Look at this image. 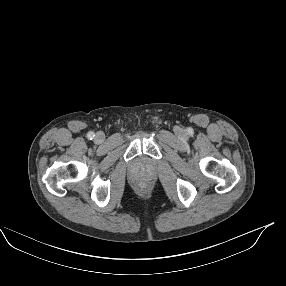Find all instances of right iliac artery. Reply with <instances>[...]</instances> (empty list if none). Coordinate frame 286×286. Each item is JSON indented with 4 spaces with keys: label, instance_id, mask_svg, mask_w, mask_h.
<instances>
[{
    "label": "right iliac artery",
    "instance_id": "right-iliac-artery-1",
    "mask_svg": "<svg viewBox=\"0 0 286 286\" xmlns=\"http://www.w3.org/2000/svg\"><path fill=\"white\" fill-rule=\"evenodd\" d=\"M87 136L89 139H93L95 137V134L93 132H89Z\"/></svg>",
    "mask_w": 286,
    "mask_h": 286
}]
</instances>
